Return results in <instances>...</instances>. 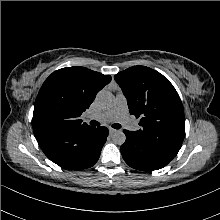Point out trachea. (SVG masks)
<instances>
[{
  "mask_svg": "<svg viewBox=\"0 0 220 220\" xmlns=\"http://www.w3.org/2000/svg\"><path fill=\"white\" fill-rule=\"evenodd\" d=\"M90 125H92V126H99L100 123L97 122V121H95V120H92V121H90ZM112 127H113L114 129H120V128H121V125L118 124V123H114V124L112 125Z\"/></svg>",
  "mask_w": 220,
  "mask_h": 220,
  "instance_id": "3493384b",
  "label": "trachea"
}]
</instances>
